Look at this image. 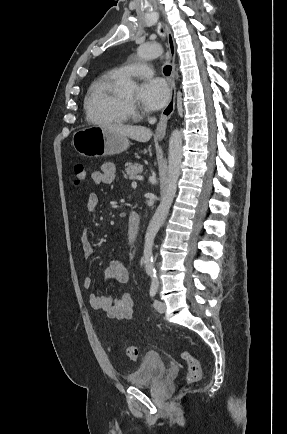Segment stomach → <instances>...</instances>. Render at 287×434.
<instances>
[{
  "mask_svg": "<svg viewBox=\"0 0 287 434\" xmlns=\"http://www.w3.org/2000/svg\"><path fill=\"white\" fill-rule=\"evenodd\" d=\"M74 149L85 157L116 155L130 145L127 137L102 126H88L77 130L72 137Z\"/></svg>",
  "mask_w": 287,
  "mask_h": 434,
  "instance_id": "obj_1",
  "label": "stomach"
}]
</instances>
